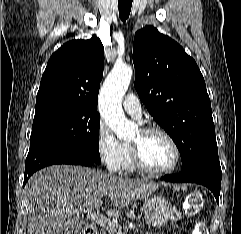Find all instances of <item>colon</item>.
I'll return each instance as SVG.
<instances>
[{"label": "colon", "mask_w": 241, "mask_h": 234, "mask_svg": "<svg viewBox=\"0 0 241 234\" xmlns=\"http://www.w3.org/2000/svg\"><path fill=\"white\" fill-rule=\"evenodd\" d=\"M202 196L199 192H192L186 199L184 203V210L187 215L194 216L198 214L202 207ZM192 234H206V228L202 223H198L194 229Z\"/></svg>", "instance_id": "1"}]
</instances>
